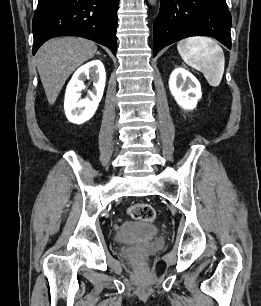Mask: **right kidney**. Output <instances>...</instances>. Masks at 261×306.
<instances>
[{"label":"right kidney","instance_id":"ca27d5eb","mask_svg":"<svg viewBox=\"0 0 261 306\" xmlns=\"http://www.w3.org/2000/svg\"><path fill=\"white\" fill-rule=\"evenodd\" d=\"M89 78L93 80V92L81 99L84 81ZM105 81V69L100 60L90 61L77 69L67 85L64 100L65 114L70 122L82 124L92 118L102 99Z\"/></svg>","mask_w":261,"mask_h":306}]
</instances>
